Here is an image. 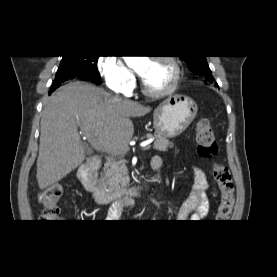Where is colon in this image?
I'll return each instance as SVG.
<instances>
[{"instance_id":"obj_1","label":"colon","mask_w":277,"mask_h":277,"mask_svg":"<svg viewBox=\"0 0 277 277\" xmlns=\"http://www.w3.org/2000/svg\"><path fill=\"white\" fill-rule=\"evenodd\" d=\"M195 140L198 154L213 161L212 176L219 191L216 218L221 221L228 220L232 215L235 202L234 182L228 167L216 160L218 145L214 130L207 118L201 117L198 119L195 126ZM62 193V186L53 184L39 194V202L42 206V222H58L60 214L59 200Z\"/></svg>"}]
</instances>
